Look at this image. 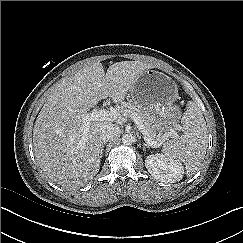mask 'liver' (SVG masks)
Listing matches in <instances>:
<instances>
[{
  "instance_id": "6515ba94",
  "label": "liver",
  "mask_w": 243,
  "mask_h": 243,
  "mask_svg": "<svg viewBox=\"0 0 243 243\" xmlns=\"http://www.w3.org/2000/svg\"><path fill=\"white\" fill-rule=\"evenodd\" d=\"M153 65L122 61L105 73L95 62L63 78L50 92L33 128L34 155L49 179L68 189L84 186L100 169L101 128L113 120L82 117L102 99L122 103L129 90ZM87 128V129H86Z\"/></svg>"
}]
</instances>
